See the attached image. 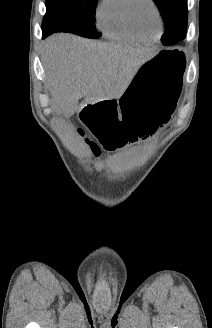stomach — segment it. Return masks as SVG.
I'll list each match as a JSON object with an SVG mask.
<instances>
[{"mask_svg": "<svg viewBox=\"0 0 212 328\" xmlns=\"http://www.w3.org/2000/svg\"><path fill=\"white\" fill-rule=\"evenodd\" d=\"M184 70L180 50L155 53L139 66L116 102H86L80 113L82 124L106 149H120L147 138L169 121Z\"/></svg>", "mask_w": 212, "mask_h": 328, "instance_id": "1", "label": "stomach"}]
</instances>
